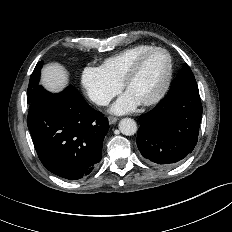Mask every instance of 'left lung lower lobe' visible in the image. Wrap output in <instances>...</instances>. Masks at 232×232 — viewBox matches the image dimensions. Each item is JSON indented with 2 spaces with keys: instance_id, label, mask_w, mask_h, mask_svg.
Instances as JSON below:
<instances>
[{
  "instance_id": "0a47b994",
  "label": "left lung lower lobe",
  "mask_w": 232,
  "mask_h": 232,
  "mask_svg": "<svg viewBox=\"0 0 232 232\" xmlns=\"http://www.w3.org/2000/svg\"><path fill=\"white\" fill-rule=\"evenodd\" d=\"M201 117L199 92L182 91L172 84L159 104L139 117L138 149L156 167L179 164L197 143Z\"/></svg>"
}]
</instances>
